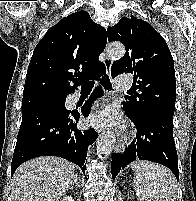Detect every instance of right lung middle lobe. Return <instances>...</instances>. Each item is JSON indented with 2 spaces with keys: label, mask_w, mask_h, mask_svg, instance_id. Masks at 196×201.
Masks as SVG:
<instances>
[{
  "label": "right lung middle lobe",
  "mask_w": 196,
  "mask_h": 201,
  "mask_svg": "<svg viewBox=\"0 0 196 201\" xmlns=\"http://www.w3.org/2000/svg\"><path fill=\"white\" fill-rule=\"evenodd\" d=\"M66 96L33 95L24 97L22 100V114L32 111H49L68 115L69 110L65 107Z\"/></svg>",
  "instance_id": "dd1d6c3e"
}]
</instances>
